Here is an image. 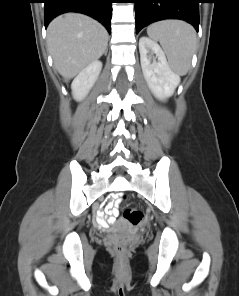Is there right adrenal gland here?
Listing matches in <instances>:
<instances>
[{
	"label": "right adrenal gland",
	"mask_w": 239,
	"mask_h": 296,
	"mask_svg": "<svg viewBox=\"0 0 239 296\" xmlns=\"http://www.w3.org/2000/svg\"><path fill=\"white\" fill-rule=\"evenodd\" d=\"M105 55H107V50L105 51Z\"/></svg>",
	"instance_id": "1"
}]
</instances>
